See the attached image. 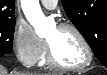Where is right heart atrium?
Segmentation results:
<instances>
[{"label":"right heart atrium","mask_w":107,"mask_h":75,"mask_svg":"<svg viewBox=\"0 0 107 75\" xmlns=\"http://www.w3.org/2000/svg\"><path fill=\"white\" fill-rule=\"evenodd\" d=\"M13 47L18 59L26 66L40 62L46 44L39 38L32 27L26 23H17L13 34Z\"/></svg>","instance_id":"d8ad5b80"}]
</instances>
